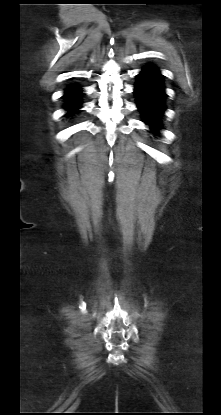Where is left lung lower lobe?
<instances>
[{
    "label": "left lung lower lobe",
    "instance_id": "left-lung-lower-lobe-1",
    "mask_svg": "<svg viewBox=\"0 0 221 415\" xmlns=\"http://www.w3.org/2000/svg\"><path fill=\"white\" fill-rule=\"evenodd\" d=\"M134 87L136 104L142 116V121L151 130L158 132L162 129V118L165 106V86L163 76L159 69L153 65H147L137 75Z\"/></svg>",
    "mask_w": 221,
    "mask_h": 415
}]
</instances>
